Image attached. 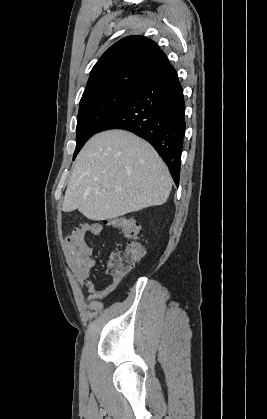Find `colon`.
<instances>
[{
	"instance_id": "obj_1",
	"label": "colon",
	"mask_w": 267,
	"mask_h": 419,
	"mask_svg": "<svg viewBox=\"0 0 267 419\" xmlns=\"http://www.w3.org/2000/svg\"><path fill=\"white\" fill-rule=\"evenodd\" d=\"M105 223L119 229L128 239L124 248L114 250L110 254L108 262L107 273L112 277H121L127 274L144 255V247L138 239L139 225L127 216H118Z\"/></svg>"
}]
</instances>
